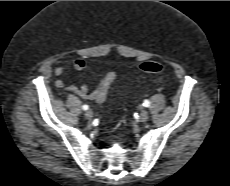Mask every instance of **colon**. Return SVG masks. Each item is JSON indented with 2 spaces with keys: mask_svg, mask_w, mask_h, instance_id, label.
Masks as SVG:
<instances>
[{
  "mask_svg": "<svg viewBox=\"0 0 230 186\" xmlns=\"http://www.w3.org/2000/svg\"><path fill=\"white\" fill-rule=\"evenodd\" d=\"M139 69L143 72L159 74L164 72L165 68L162 64L156 62H143L139 65ZM115 78L113 73L108 74V80L112 82Z\"/></svg>",
  "mask_w": 230,
  "mask_h": 186,
  "instance_id": "1",
  "label": "colon"
}]
</instances>
